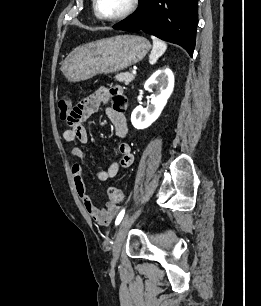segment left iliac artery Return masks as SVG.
<instances>
[{"label": "left iliac artery", "instance_id": "obj_1", "mask_svg": "<svg viewBox=\"0 0 261 306\" xmlns=\"http://www.w3.org/2000/svg\"><path fill=\"white\" fill-rule=\"evenodd\" d=\"M124 214H125V209H123V210L118 214V216H117V218H116V221H115V225H116V226H118V225L121 223V221H122V219H123V217H124Z\"/></svg>", "mask_w": 261, "mask_h": 306}]
</instances>
